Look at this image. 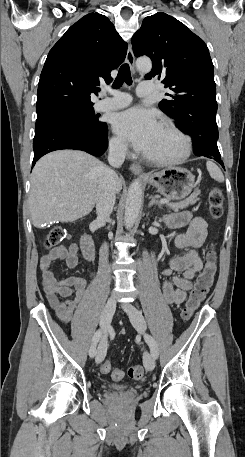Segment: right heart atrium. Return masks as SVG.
<instances>
[{
    "instance_id": "1",
    "label": "right heart atrium",
    "mask_w": 245,
    "mask_h": 457,
    "mask_svg": "<svg viewBox=\"0 0 245 457\" xmlns=\"http://www.w3.org/2000/svg\"><path fill=\"white\" fill-rule=\"evenodd\" d=\"M111 147L116 153H125L127 151L126 143L119 137L111 139Z\"/></svg>"
}]
</instances>
